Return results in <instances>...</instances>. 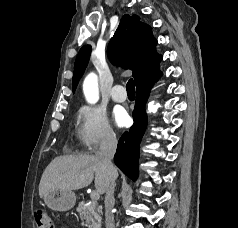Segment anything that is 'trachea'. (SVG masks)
Here are the masks:
<instances>
[{
    "mask_svg": "<svg viewBox=\"0 0 238 228\" xmlns=\"http://www.w3.org/2000/svg\"><path fill=\"white\" fill-rule=\"evenodd\" d=\"M126 90L128 95L135 96V86L133 79H130L126 84Z\"/></svg>",
    "mask_w": 238,
    "mask_h": 228,
    "instance_id": "obj_1",
    "label": "trachea"
}]
</instances>
